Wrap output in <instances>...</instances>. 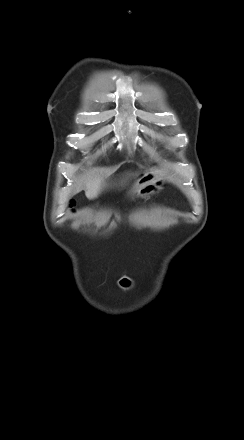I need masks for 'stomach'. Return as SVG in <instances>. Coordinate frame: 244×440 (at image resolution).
I'll list each match as a JSON object with an SVG mask.
<instances>
[{"instance_id":"stomach-1","label":"stomach","mask_w":244,"mask_h":440,"mask_svg":"<svg viewBox=\"0 0 244 440\" xmlns=\"http://www.w3.org/2000/svg\"><path fill=\"white\" fill-rule=\"evenodd\" d=\"M163 181L155 172H146L138 176L136 182L131 189L134 196L146 197L162 189Z\"/></svg>"}]
</instances>
